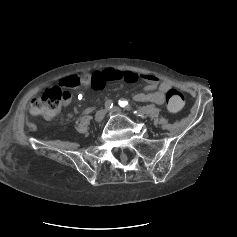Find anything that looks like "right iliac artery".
Instances as JSON below:
<instances>
[{
    "label": "right iliac artery",
    "instance_id": "1",
    "mask_svg": "<svg viewBox=\"0 0 237 237\" xmlns=\"http://www.w3.org/2000/svg\"><path fill=\"white\" fill-rule=\"evenodd\" d=\"M105 109L106 110H109V109H111L112 108V106H113V102H112V100H107L106 102H105Z\"/></svg>",
    "mask_w": 237,
    "mask_h": 237
}]
</instances>
